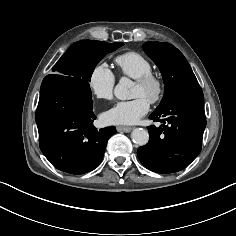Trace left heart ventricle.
Masks as SVG:
<instances>
[{
    "mask_svg": "<svg viewBox=\"0 0 236 236\" xmlns=\"http://www.w3.org/2000/svg\"><path fill=\"white\" fill-rule=\"evenodd\" d=\"M151 93H152L151 89L142 87L139 84L135 83L132 90V97L142 96L147 100H149L151 97Z\"/></svg>",
    "mask_w": 236,
    "mask_h": 236,
    "instance_id": "obj_1",
    "label": "left heart ventricle"
}]
</instances>
